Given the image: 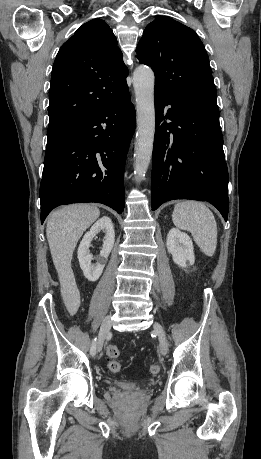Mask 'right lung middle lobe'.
Wrapping results in <instances>:
<instances>
[{
  "label": "right lung middle lobe",
  "mask_w": 261,
  "mask_h": 459,
  "mask_svg": "<svg viewBox=\"0 0 261 459\" xmlns=\"http://www.w3.org/2000/svg\"><path fill=\"white\" fill-rule=\"evenodd\" d=\"M76 123L66 122L60 123L56 125H52L48 127L47 135V146L54 144L55 142L59 141L62 137H64L67 133H69L74 127H76Z\"/></svg>",
  "instance_id": "right-lung-middle-lobe-1"
}]
</instances>
